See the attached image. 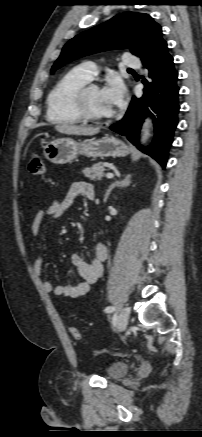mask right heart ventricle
I'll use <instances>...</instances> for the list:
<instances>
[{
  "mask_svg": "<svg viewBox=\"0 0 202 437\" xmlns=\"http://www.w3.org/2000/svg\"><path fill=\"white\" fill-rule=\"evenodd\" d=\"M90 80L80 68L64 74L47 96V120L54 124L80 123L81 119L74 110L72 99L75 91Z\"/></svg>",
  "mask_w": 202,
  "mask_h": 437,
  "instance_id": "right-heart-ventricle-1",
  "label": "right heart ventricle"
}]
</instances>
